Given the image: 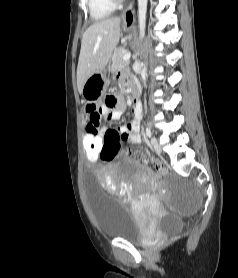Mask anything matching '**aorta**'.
Instances as JSON below:
<instances>
[{"label": "aorta", "mask_w": 238, "mask_h": 278, "mask_svg": "<svg viewBox=\"0 0 238 278\" xmlns=\"http://www.w3.org/2000/svg\"><path fill=\"white\" fill-rule=\"evenodd\" d=\"M147 3L148 0H138V26L141 39L145 36Z\"/></svg>", "instance_id": "obj_1"}]
</instances>
